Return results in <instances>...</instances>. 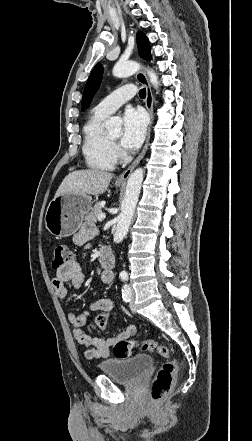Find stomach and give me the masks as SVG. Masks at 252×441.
<instances>
[{"label": "stomach", "mask_w": 252, "mask_h": 441, "mask_svg": "<svg viewBox=\"0 0 252 441\" xmlns=\"http://www.w3.org/2000/svg\"><path fill=\"white\" fill-rule=\"evenodd\" d=\"M121 184L116 183V186ZM92 208V199L85 194L55 196L45 214L47 230L57 238L69 237L80 228L85 214Z\"/></svg>", "instance_id": "obj_1"}]
</instances>
